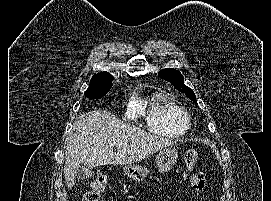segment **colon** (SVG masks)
<instances>
[{
	"label": "colon",
	"mask_w": 271,
	"mask_h": 201,
	"mask_svg": "<svg viewBox=\"0 0 271 201\" xmlns=\"http://www.w3.org/2000/svg\"><path fill=\"white\" fill-rule=\"evenodd\" d=\"M199 160V153L195 149H190L185 153L184 161L186 171L191 170ZM108 186V180L104 176L95 178L90 185V189L83 196L82 201H99L100 194Z\"/></svg>",
	"instance_id": "5ec220e1"
}]
</instances>
